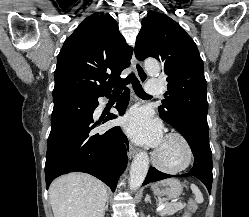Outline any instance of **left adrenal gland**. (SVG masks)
<instances>
[{
  "label": "left adrenal gland",
  "instance_id": "1",
  "mask_svg": "<svg viewBox=\"0 0 249 217\" xmlns=\"http://www.w3.org/2000/svg\"><path fill=\"white\" fill-rule=\"evenodd\" d=\"M145 202H146V203L149 202V203L151 204V198H150L149 195H146V197H145Z\"/></svg>",
  "mask_w": 249,
  "mask_h": 217
}]
</instances>
